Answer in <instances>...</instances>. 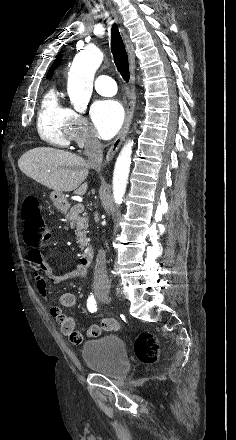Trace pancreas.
I'll list each match as a JSON object with an SVG mask.
<instances>
[{"label":"pancreas","mask_w":236,"mask_h":440,"mask_svg":"<svg viewBox=\"0 0 236 440\" xmlns=\"http://www.w3.org/2000/svg\"><path fill=\"white\" fill-rule=\"evenodd\" d=\"M80 213L76 207H72L70 211L66 214V220L67 223L70 225L71 228L76 227V236L79 241V247L81 249H84L87 246L88 239L86 237L88 231V217L86 214H83V216H80Z\"/></svg>","instance_id":"1"}]
</instances>
